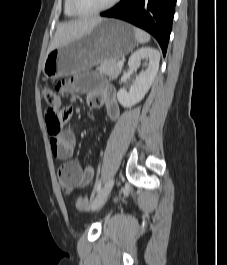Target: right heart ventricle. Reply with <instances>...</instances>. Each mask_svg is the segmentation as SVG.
<instances>
[{
	"label": "right heart ventricle",
	"mask_w": 227,
	"mask_h": 265,
	"mask_svg": "<svg viewBox=\"0 0 227 265\" xmlns=\"http://www.w3.org/2000/svg\"><path fill=\"white\" fill-rule=\"evenodd\" d=\"M64 11H65V14L68 16V17H76L78 16L72 9H71V6H70V0H64Z\"/></svg>",
	"instance_id": "e07e8e85"
}]
</instances>
